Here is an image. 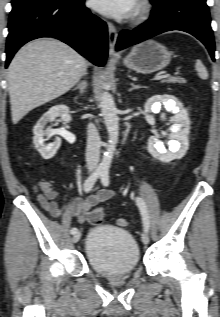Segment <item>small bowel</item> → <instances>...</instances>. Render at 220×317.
Masks as SVG:
<instances>
[{
  "mask_svg": "<svg viewBox=\"0 0 220 317\" xmlns=\"http://www.w3.org/2000/svg\"><path fill=\"white\" fill-rule=\"evenodd\" d=\"M37 200L42 208L53 217H59L63 211L68 212L79 222L85 220L86 215L100 203L110 199L114 192L112 190H99L87 198H72L62 208L58 205L59 193L49 181H39L35 186Z\"/></svg>",
  "mask_w": 220,
  "mask_h": 317,
  "instance_id": "1",
  "label": "small bowel"
}]
</instances>
